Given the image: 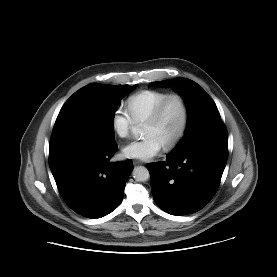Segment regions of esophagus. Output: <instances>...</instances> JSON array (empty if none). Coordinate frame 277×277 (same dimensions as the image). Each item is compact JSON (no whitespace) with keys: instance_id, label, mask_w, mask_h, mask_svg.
Returning <instances> with one entry per match:
<instances>
[{"instance_id":"34e87169","label":"esophagus","mask_w":277,"mask_h":277,"mask_svg":"<svg viewBox=\"0 0 277 277\" xmlns=\"http://www.w3.org/2000/svg\"><path fill=\"white\" fill-rule=\"evenodd\" d=\"M133 164H134V165H140V164H143V162L140 161V160H134V161H133Z\"/></svg>"}]
</instances>
